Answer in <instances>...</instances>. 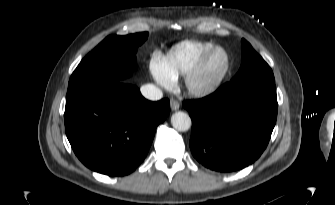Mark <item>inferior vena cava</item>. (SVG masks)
I'll return each mask as SVG.
<instances>
[{"instance_id":"inferior-vena-cava-1","label":"inferior vena cava","mask_w":335,"mask_h":205,"mask_svg":"<svg viewBox=\"0 0 335 205\" xmlns=\"http://www.w3.org/2000/svg\"><path fill=\"white\" fill-rule=\"evenodd\" d=\"M142 95L149 100H160L163 97L161 89L153 84H145L141 88Z\"/></svg>"}]
</instances>
